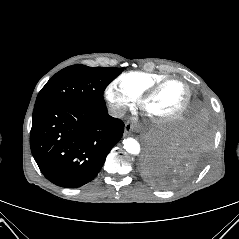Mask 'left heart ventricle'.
<instances>
[{"label":"left heart ventricle","instance_id":"obj_1","mask_svg":"<svg viewBox=\"0 0 239 239\" xmlns=\"http://www.w3.org/2000/svg\"><path fill=\"white\" fill-rule=\"evenodd\" d=\"M187 96L185 86L180 82H172L163 87L145 106L151 115L166 116L176 112Z\"/></svg>","mask_w":239,"mask_h":239}]
</instances>
